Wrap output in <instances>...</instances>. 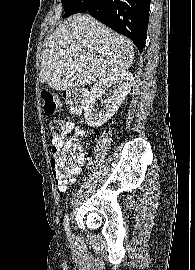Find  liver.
<instances>
[{"label": "liver", "mask_w": 195, "mask_h": 270, "mask_svg": "<svg viewBox=\"0 0 195 270\" xmlns=\"http://www.w3.org/2000/svg\"><path fill=\"white\" fill-rule=\"evenodd\" d=\"M133 59L129 39L88 14H76L47 37L40 82L65 91L118 75Z\"/></svg>", "instance_id": "obj_1"}]
</instances>
